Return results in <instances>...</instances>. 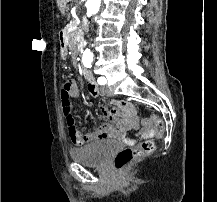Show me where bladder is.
Here are the masks:
<instances>
[{
	"label": "bladder",
	"instance_id": "1",
	"mask_svg": "<svg viewBox=\"0 0 217 202\" xmlns=\"http://www.w3.org/2000/svg\"><path fill=\"white\" fill-rule=\"evenodd\" d=\"M119 147L115 140H104L71 150V158L83 165H101Z\"/></svg>",
	"mask_w": 217,
	"mask_h": 202
}]
</instances>
